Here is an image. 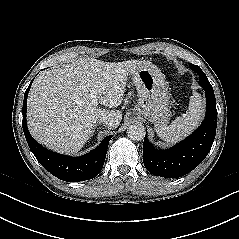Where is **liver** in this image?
<instances>
[{
	"label": "liver",
	"instance_id": "6515ba94",
	"mask_svg": "<svg viewBox=\"0 0 239 239\" xmlns=\"http://www.w3.org/2000/svg\"><path fill=\"white\" fill-rule=\"evenodd\" d=\"M138 61L105 62L83 57L42 72L28 96L27 123L31 135L48 149L76 154L91 137L96 119L107 116L115 129L122 113L113 110L124 98L127 77ZM91 91L97 102L91 104Z\"/></svg>",
	"mask_w": 239,
	"mask_h": 239
}]
</instances>
